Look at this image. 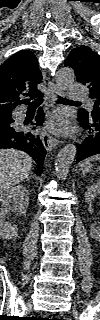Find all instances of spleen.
<instances>
[{
    "label": "spleen",
    "mask_w": 100,
    "mask_h": 320,
    "mask_svg": "<svg viewBox=\"0 0 100 320\" xmlns=\"http://www.w3.org/2000/svg\"><path fill=\"white\" fill-rule=\"evenodd\" d=\"M99 159H100V157L98 155L89 157L88 159L85 160L83 165H86V164L90 163L91 161H98Z\"/></svg>",
    "instance_id": "spleen-1"
}]
</instances>
